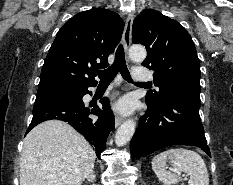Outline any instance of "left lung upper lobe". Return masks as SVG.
Segmentation results:
<instances>
[{"mask_svg":"<svg viewBox=\"0 0 233 185\" xmlns=\"http://www.w3.org/2000/svg\"><path fill=\"white\" fill-rule=\"evenodd\" d=\"M132 41L146 47L142 65L154 71V84L159 87L147 93V104L159 107L180 89L201 88L194 42L177 21L153 9L143 10L133 22Z\"/></svg>","mask_w":233,"mask_h":185,"instance_id":"left-lung-upper-lobe-1","label":"left lung upper lobe"}]
</instances>
